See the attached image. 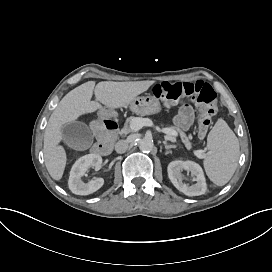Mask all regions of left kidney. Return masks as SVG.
Wrapping results in <instances>:
<instances>
[{
  "label": "left kidney",
  "instance_id": "1",
  "mask_svg": "<svg viewBox=\"0 0 272 272\" xmlns=\"http://www.w3.org/2000/svg\"><path fill=\"white\" fill-rule=\"evenodd\" d=\"M182 171L190 172L193 181L196 182L193 186H187L183 183ZM168 176L173 185L181 192L188 196L203 195L206 191L205 178L202 169L194 162L173 161L168 165Z\"/></svg>",
  "mask_w": 272,
  "mask_h": 272
}]
</instances>
